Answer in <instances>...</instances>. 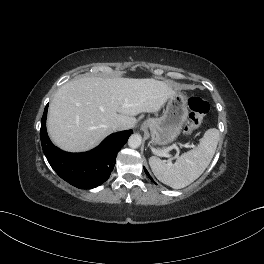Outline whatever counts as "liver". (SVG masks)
<instances>
[{
  "label": "liver",
  "instance_id": "liver-1",
  "mask_svg": "<svg viewBox=\"0 0 264 264\" xmlns=\"http://www.w3.org/2000/svg\"><path fill=\"white\" fill-rule=\"evenodd\" d=\"M170 82L153 78L82 77L61 86L48 111L47 130L55 145L70 152L90 150L114 132L136 125L134 116L158 112L177 92Z\"/></svg>",
  "mask_w": 264,
  "mask_h": 264
}]
</instances>
